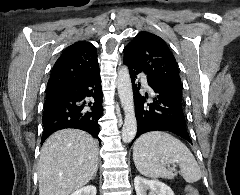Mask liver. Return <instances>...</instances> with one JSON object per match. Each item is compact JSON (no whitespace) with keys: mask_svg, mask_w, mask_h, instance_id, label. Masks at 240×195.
I'll return each instance as SVG.
<instances>
[{"mask_svg":"<svg viewBox=\"0 0 240 195\" xmlns=\"http://www.w3.org/2000/svg\"><path fill=\"white\" fill-rule=\"evenodd\" d=\"M96 139L82 129H59L41 147L39 195H69L86 185L98 169Z\"/></svg>","mask_w":240,"mask_h":195,"instance_id":"liver-1","label":"liver"}]
</instances>
